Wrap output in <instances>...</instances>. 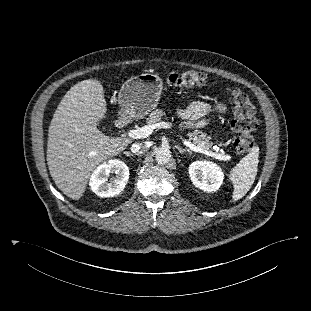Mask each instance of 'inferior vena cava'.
<instances>
[{
    "label": "inferior vena cava",
    "mask_w": 311,
    "mask_h": 311,
    "mask_svg": "<svg viewBox=\"0 0 311 311\" xmlns=\"http://www.w3.org/2000/svg\"><path fill=\"white\" fill-rule=\"evenodd\" d=\"M146 150V145L142 143H134L131 146V152L134 154H141Z\"/></svg>",
    "instance_id": "1"
}]
</instances>
